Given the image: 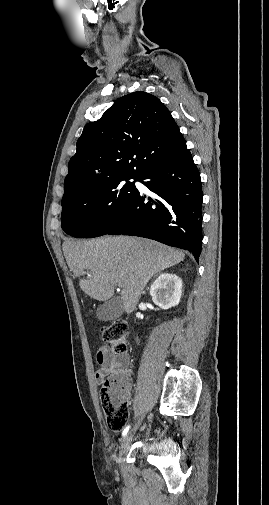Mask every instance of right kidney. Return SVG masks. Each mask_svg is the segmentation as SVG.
<instances>
[{"mask_svg": "<svg viewBox=\"0 0 269 505\" xmlns=\"http://www.w3.org/2000/svg\"><path fill=\"white\" fill-rule=\"evenodd\" d=\"M181 295L182 280L175 274H161L150 288V296L154 304L162 309H169L178 305Z\"/></svg>", "mask_w": 269, "mask_h": 505, "instance_id": "obj_1", "label": "right kidney"}]
</instances>
